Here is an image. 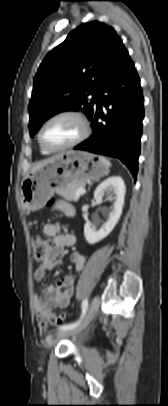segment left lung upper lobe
<instances>
[{"instance_id": "1", "label": "left lung upper lobe", "mask_w": 168, "mask_h": 406, "mask_svg": "<svg viewBox=\"0 0 168 406\" xmlns=\"http://www.w3.org/2000/svg\"><path fill=\"white\" fill-rule=\"evenodd\" d=\"M124 49L115 30L104 23H83L71 31L46 55L34 78L30 135L62 111H83L91 119L99 88Z\"/></svg>"}]
</instances>
